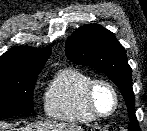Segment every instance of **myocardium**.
I'll list each match as a JSON object with an SVG mask.
<instances>
[{"instance_id":"1","label":"myocardium","mask_w":147,"mask_h":131,"mask_svg":"<svg viewBox=\"0 0 147 131\" xmlns=\"http://www.w3.org/2000/svg\"><path fill=\"white\" fill-rule=\"evenodd\" d=\"M105 85L107 86L114 96V107L108 113H101L97 110L95 103H94V92L97 86ZM85 103L88 112L94 119H106L111 117L119 108L120 105V96L117 88L115 85L107 79L104 78H95L92 79L86 87L85 90Z\"/></svg>"}]
</instances>
